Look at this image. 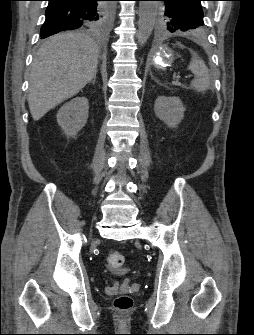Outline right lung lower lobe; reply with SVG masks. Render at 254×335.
<instances>
[{"instance_id": "right-lung-lower-lobe-1", "label": "right lung lower lobe", "mask_w": 254, "mask_h": 335, "mask_svg": "<svg viewBox=\"0 0 254 335\" xmlns=\"http://www.w3.org/2000/svg\"><path fill=\"white\" fill-rule=\"evenodd\" d=\"M46 20L41 27V39L64 30H92L100 15L101 0H48Z\"/></svg>"}]
</instances>
